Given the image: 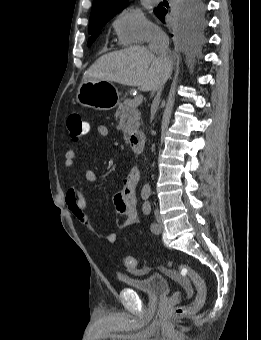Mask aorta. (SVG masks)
Instances as JSON below:
<instances>
[{"label": "aorta", "instance_id": "1", "mask_svg": "<svg viewBox=\"0 0 261 340\" xmlns=\"http://www.w3.org/2000/svg\"><path fill=\"white\" fill-rule=\"evenodd\" d=\"M142 194H150L151 193V187L149 185V183H145L143 188H142Z\"/></svg>", "mask_w": 261, "mask_h": 340}]
</instances>
